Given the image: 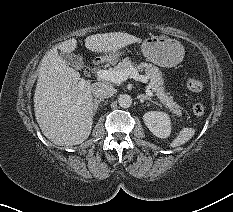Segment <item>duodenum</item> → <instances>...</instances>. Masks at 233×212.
Masks as SVG:
<instances>
[{
    "instance_id": "410a0bca",
    "label": "duodenum",
    "mask_w": 233,
    "mask_h": 212,
    "mask_svg": "<svg viewBox=\"0 0 233 212\" xmlns=\"http://www.w3.org/2000/svg\"><path fill=\"white\" fill-rule=\"evenodd\" d=\"M98 62H99V61H98V60H96V61H95V64H98Z\"/></svg>"
}]
</instances>
